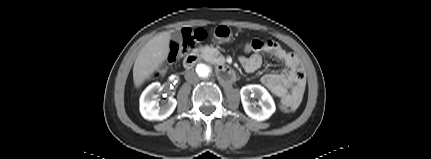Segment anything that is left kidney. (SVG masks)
Here are the masks:
<instances>
[{
  "instance_id": "obj_1",
  "label": "left kidney",
  "mask_w": 431,
  "mask_h": 159,
  "mask_svg": "<svg viewBox=\"0 0 431 159\" xmlns=\"http://www.w3.org/2000/svg\"><path fill=\"white\" fill-rule=\"evenodd\" d=\"M250 94L255 95V97L259 99L258 104L250 102ZM240 96L245 113L257 121L268 119L276 110L272 96L261 85L250 84L242 87Z\"/></svg>"
}]
</instances>
